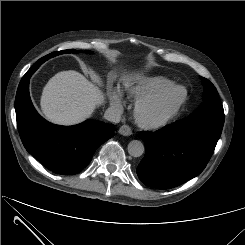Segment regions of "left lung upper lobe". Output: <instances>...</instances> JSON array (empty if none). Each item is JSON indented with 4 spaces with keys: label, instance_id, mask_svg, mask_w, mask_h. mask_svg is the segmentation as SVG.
Here are the masks:
<instances>
[{
    "label": "left lung upper lobe",
    "instance_id": "left-lung-upper-lobe-1",
    "mask_svg": "<svg viewBox=\"0 0 245 245\" xmlns=\"http://www.w3.org/2000/svg\"><path fill=\"white\" fill-rule=\"evenodd\" d=\"M202 82L204 84L203 102L187 118L208 119L224 124V110L215 86L206 78H202Z\"/></svg>",
    "mask_w": 245,
    "mask_h": 245
}]
</instances>
